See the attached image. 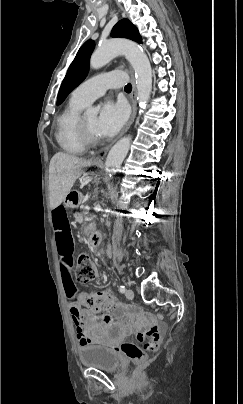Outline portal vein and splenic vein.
Returning a JSON list of instances; mask_svg holds the SVG:
<instances>
[{"mask_svg": "<svg viewBox=\"0 0 243 404\" xmlns=\"http://www.w3.org/2000/svg\"><path fill=\"white\" fill-rule=\"evenodd\" d=\"M89 210H90L89 206H85L84 212H82V215H87L89 213Z\"/></svg>", "mask_w": 243, "mask_h": 404, "instance_id": "1", "label": "portal vein and splenic vein"}]
</instances>
